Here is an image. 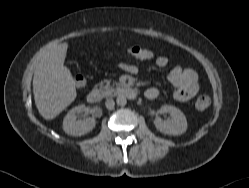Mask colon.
<instances>
[{
	"mask_svg": "<svg viewBox=\"0 0 249 188\" xmlns=\"http://www.w3.org/2000/svg\"><path fill=\"white\" fill-rule=\"evenodd\" d=\"M129 54L135 59H150L153 56V51L150 49L140 48L134 46L129 49ZM75 85L77 87L84 86V79L81 76L75 78ZM196 108L198 110H205L210 106V98L208 96H200L196 101Z\"/></svg>",
	"mask_w": 249,
	"mask_h": 188,
	"instance_id": "colon-1",
	"label": "colon"
}]
</instances>
